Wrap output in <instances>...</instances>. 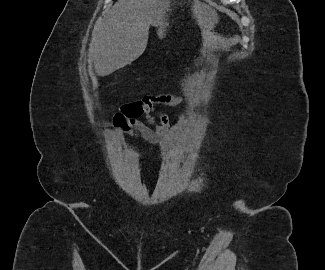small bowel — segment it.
<instances>
[{
  "instance_id": "1",
  "label": "small bowel",
  "mask_w": 325,
  "mask_h": 270,
  "mask_svg": "<svg viewBox=\"0 0 325 270\" xmlns=\"http://www.w3.org/2000/svg\"><path fill=\"white\" fill-rule=\"evenodd\" d=\"M182 98L172 95L147 96L143 99L126 105L124 113L130 117L126 121L119 117L116 120L114 128L108 129L104 136L117 143L120 151L125 152L123 132L129 127H133L142 137L153 141L159 145V156L173 154L183 157L187 154L186 150H172L173 141L189 136L193 130L185 128V115H182L179 121L172 125L168 117L156 109V105L162 104L170 107L179 106ZM145 117L148 124L138 120L139 117ZM157 156H152L156 159Z\"/></svg>"
}]
</instances>
